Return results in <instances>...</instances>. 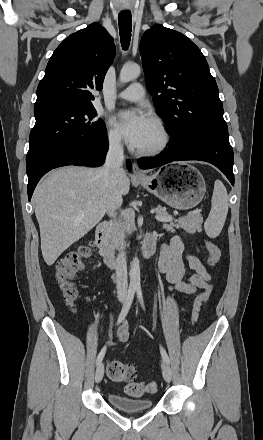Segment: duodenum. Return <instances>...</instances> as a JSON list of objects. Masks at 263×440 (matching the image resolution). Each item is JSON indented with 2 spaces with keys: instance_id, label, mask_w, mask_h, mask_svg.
<instances>
[{
  "instance_id": "1",
  "label": "duodenum",
  "mask_w": 263,
  "mask_h": 440,
  "mask_svg": "<svg viewBox=\"0 0 263 440\" xmlns=\"http://www.w3.org/2000/svg\"><path fill=\"white\" fill-rule=\"evenodd\" d=\"M109 223L106 221L99 222L96 227L94 243L104 262L112 268L118 265L117 257L108 239ZM143 257L145 259L151 257L155 252V241L153 237L146 238L143 243Z\"/></svg>"
}]
</instances>
